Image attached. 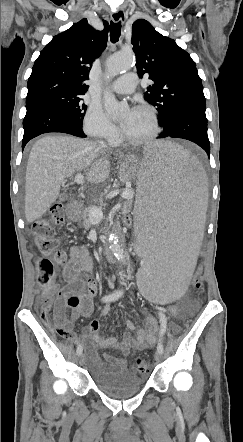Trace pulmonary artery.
<instances>
[{"instance_id":"obj_1","label":"pulmonary artery","mask_w":243,"mask_h":442,"mask_svg":"<svg viewBox=\"0 0 243 442\" xmlns=\"http://www.w3.org/2000/svg\"><path fill=\"white\" fill-rule=\"evenodd\" d=\"M138 84L137 76L135 73H126L119 77L111 85V89L118 94H130L132 93Z\"/></svg>"}]
</instances>
